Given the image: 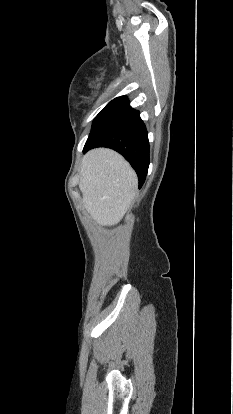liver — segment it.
Segmentation results:
<instances>
[{
    "mask_svg": "<svg viewBox=\"0 0 233 414\" xmlns=\"http://www.w3.org/2000/svg\"><path fill=\"white\" fill-rule=\"evenodd\" d=\"M138 178L130 164L117 152L97 148L89 151L80 166L82 202L101 226L121 221L134 199Z\"/></svg>",
    "mask_w": 233,
    "mask_h": 414,
    "instance_id": "1",
    "label": "liver"
}]
</instances>
